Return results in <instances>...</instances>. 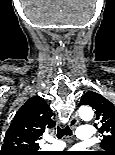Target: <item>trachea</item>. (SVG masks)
Here are the masks:
<instances>
[{
  "mask_svg": "<svg viewBox=\"0 0 115 155\" xmlns=\"http://www.w3.org/2000/svg\"><path fill=\"white\" fill-rule=\"evenodd\" d=\"M65 135L71 136L72 135V130L68 126H66L65 128H61V127L58 126L57 127V138L61 139Z\"/></svg>",
  "mask_w": 115,
  "mask_h": 155,
  "instance_id": "obj_1",
  "label": "trachea"
}]
</instances>
